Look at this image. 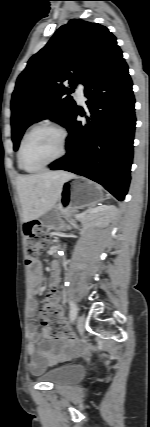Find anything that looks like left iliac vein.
Listing matches in <instances>:
<instances>
[{"label": "left iliac vein", "instance_id": "4c4485c4", "mask_svg": "<svg viewBox=\"0 0 150 427\" xmlns=\"http://www.w3.org/2000/svg\"><path fill=\"white\" fill-rule=\"evenodd\" d=\"M77 330L80 334L84 332V318L82 316H78L76 320Z\"/></svg>", "mask_w": 150, "mask_h": 427}]
</instances>
